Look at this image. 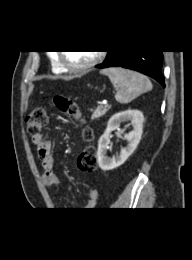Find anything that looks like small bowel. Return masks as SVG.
Segmentation results:
<instances>
[{"mask_svg":"<svg viewBox=\"0 0 192 260\" xmlns=\"http://www.w3.org/2000/svg\"><path fill=\"white\" fill-rule=\"evenodd\" d=\"M32 142L37 147V154L41 162V178L44 184L50 187H58L60 179L54 172L55 159L52 144L43 135L32 136ZM98 191L92 189L89 192L88 200L84 205V210H91L96 206Z\"/></svg>","mask_w":192,"mask_h":260,"instance_id":"small-bowel-1","label":"small bowel"}]
</instances>
